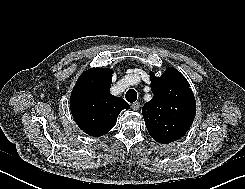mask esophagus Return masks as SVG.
<instances>
[{
  "mask_svg": "<svg viewBox=\"0 0 245 189\" xmlns=\"http://www.w3.org/2000/svg\"><path fill=\"white\" fill-rule=\"evenodd\" d=\"M131 108L134 110V111H137L139 110L140 108V103L139 102H134L131 104Z\"/></svg>",
  "mask_w": 245,
  "mask_h": 189,
  "instance_id": "1",
  "label": "esophagus"
}]
</instances>
